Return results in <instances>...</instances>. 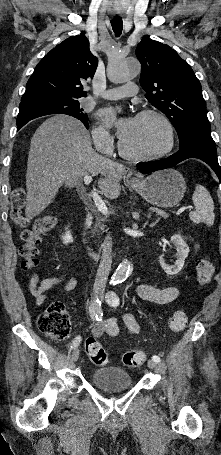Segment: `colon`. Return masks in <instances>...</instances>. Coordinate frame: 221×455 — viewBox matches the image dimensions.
<instances>
[{
  "mask_svg": "<svg viewBox=\"0 0 221 455\" xmlns=\"http://www.w3.org/2000/svg\"><path fill=\"white\" fill-rule=\"evenodd\" d=\"M24 188H15L10 196V217L23 228V244L20 248L22 267L32 272L38 264V246L44 235L51 232L56 226L54 215H44L37 218L31 226L23 214L26 203ZM213 275L212 263L202 259L197 264L196 280L198 286H203L211 281ZM38 327L47 337L62 341L65 340L71 330V322L65 305L61 302L51 303L39 316ZM186 324V315L183 311L173 313L168 319V327L173 332L183 330ZM85 350L91 362L97 366L105 365L108 361L107 353L99 341L94 337L87 338ZM123 364L127 367H138L145 361V354L140 351H129L122 356Z\"/></svg>",
  "mask_w": 221,
  "mask_h": 455,
  "instance_id": "colon-1",
  "label": "colon"
}]
</instances>
